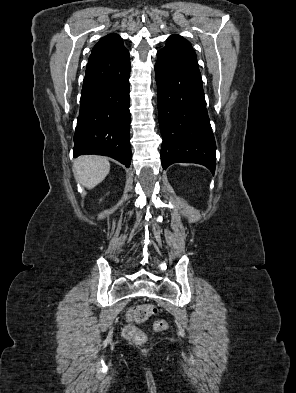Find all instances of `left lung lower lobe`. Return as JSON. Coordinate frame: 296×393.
I'll list each match as a JSON object with an SVG mask.
<instances>
[{"label":"left lung lower lobe","instance_id":"0a47b994","mask_svg":"<svg viewBox=\"0 0 296 393\" xmlns=\"http://www.w3.org/2000/svg\"><path fill=\"white\" fill-rule=\"evenodd\" d=\"M159 124L163 169L175 162L198 163L214 173L216 144L207 114L197 60L157 53Z\"/></svg>","mask_w":296,"mask_h":393}]
</instances>
